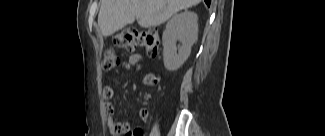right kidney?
I'll return each instance as SVG.
<instances>
[{
  "instance_id": "1",
  "label": "right kidney",
  "mask_w": 325,
  "mask_h": 136,
  "mask_svg": "<svg viewBox=\"0 0 325 136\" xmlns=\"http://www.w3.org/2000/svg\"><path fill=\"white\" fill-rule=\"evenodd\" d=\"M198 17L191 11L174 15L163 32V61L169 71H176L188 59L191 47L198 38ZM181 46H176V42Z\"/></svg>"
}]
</instances>
